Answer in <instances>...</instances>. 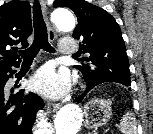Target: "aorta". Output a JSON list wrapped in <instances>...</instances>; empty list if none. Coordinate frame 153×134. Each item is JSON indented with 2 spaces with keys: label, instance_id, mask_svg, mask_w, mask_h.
Returning <instances> with one entry per match:
<instances>
[{
  "label": "aorta",
  "instance_id": "obj_1",
  "mask_svg": "<svg viewBox=\"0 0 153 134\" xmlns=\"http://www.w3.org/2000/svg\"><path fill=\"white\" fill-rule=\"evenodd\" d=\"M52 20L55 28L61 32H69L75 27L73 15L65 9H58L53 13ZM83 114L75 104L62 107L55 118V134H77L82 124Z\"/></svg>",
  "mask_w": 153,
  "mask_h": 134
}]
</instances>
